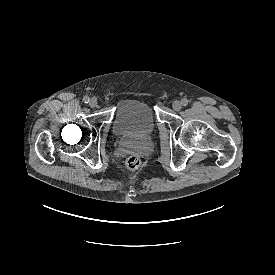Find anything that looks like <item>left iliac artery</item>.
I'll use <instances>...</instances> for the list:
<instances>
[{
  "label": "left iliac artery",
  "mask_w": 275,
  "mask_h": 275,
  "mask_svg": "<svg viewBox=\"0 0 275 275\" xmlns=\"http://www.w3.org/2000/svg\"><path fill=\"white\" fill-rule=\"evenodd\" d=\"M188 100L186 99V98H183L182 100H181V104L183 105V106H187L188 105Z\"/></svg>",
  "instance_id": "44dca946"
}]
</instances>
